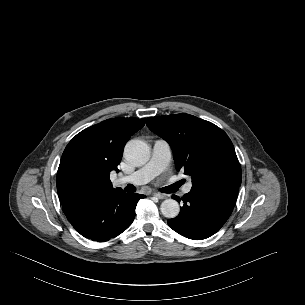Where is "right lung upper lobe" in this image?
I'll return each instance as SVG.
<instances>
[{"instance_id": "1", "label": "right lung upper lobe", "mask_w": 305, "mask_h": 305, "mask_svg": "<svg viewBox=\"0 0 305 305\" xmlns=\"http://www.w3.org/2000/svg\"><path fill=\"white\" fill-rule=\"evenodd\" d=\"M144 124L145 119L112 118L73 137L57 172V192L62 206L121 190L113 188L110 172L118 171L126 142Z\"/></svg>"}]
</instances>
